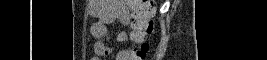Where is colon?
I'll return each instance as SVG.
<instances>
[{
    "label": "colon",
    "instance_id": "obj_1",
    "mask_svg": "<svg viewBox=\"0 0 267 60\" xmlns=\"http://www.w3.org/2000/svg\"><path fill=\"white\" fill-rule=\"evenodd\" d=\"M129 6L134 29L138 33L137 46L133 48V59L143 60L149 51L148 38L153 33L156 12L154 1L152 0H126Z\"/></svg>",
    "mask_w": 267,
    "mask_h": 60
}]
</instances>
